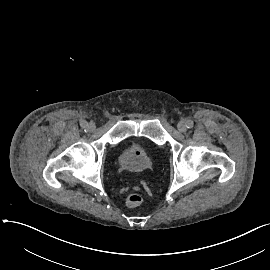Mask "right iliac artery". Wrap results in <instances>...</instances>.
Masks as SVG:
<instances>
[{"mask_svg": "<svg viewBox=\"0 0 270 270\" xmlns=\"http://www.w3.org/2000/svg\"><path fill=\"white\" fill-rule=\"evenodd\" d=\"M87 122L85 121V120H82L81 122H80V126L82 127V128H86L87 127Z\"/></svg>", "mask_w": 270, "mask_h": 270, "instance_id": "1", "label": "right iliac artery"}]
</instances>
